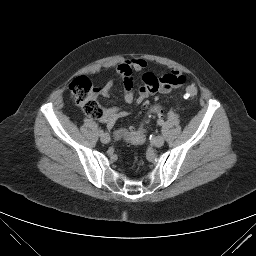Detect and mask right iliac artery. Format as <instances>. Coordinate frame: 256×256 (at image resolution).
Here are the masks:
<instances>
[{"mask_svg":"<svg viewBox=\"0 0 256 256\" xmlns=\"http://www.w3.org/2000/svg\"><path fill=\"white\" fill-rule=\"evenodd\" d=\"M99 135L101 136V135H103L104 134V131L103 130H99Z\"/></svg>","mask_w":256,"mask_h":256,"instance_id":"1","label":"right iliac artery"}]
</instances>
